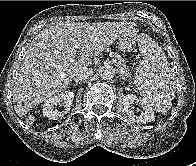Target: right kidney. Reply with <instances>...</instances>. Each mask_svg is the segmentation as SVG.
<instances>
[{
	"instance_id": "ca27d5eb",
	"label": "right kidney",
	"mask_w": 196,
	"mask_h": 166,
	"mask_svg": "<svg viewBox=\"0 0 196 166\" xmlns=\"http://www.w3.org/2000/svg\"><path fill=\"white\" fill-rule=\"evenodd\" d=\"M74 99V93L72 91H65L59 95L49 98L43 105V116L50 119L57 120L63 117L70 111V106L72 105ZM57 106L64 107V109L59 112Z\"/></svg>"
}]
</instances>
